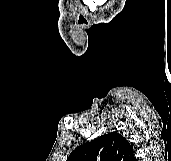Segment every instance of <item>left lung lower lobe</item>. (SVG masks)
<instances>
[{
    "label": "left lung lower lobe",
    "mask_w": 171,
    "mask_h": 161,
    "mask_svg": "<svg viewBox=\"0 0 171 161\" xmlns=\"http://www.w3.org/2000/svg\"><path fill=\"white\" fill-rule=\"evenodd\" d=\"M132 161H137L136 157H134Z\"/></svg>",
    "instance_id": "obj_1"
}]
</instances>
